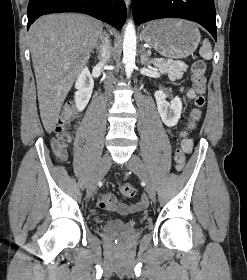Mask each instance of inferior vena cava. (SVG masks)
<instances>
[{
  "instance_id": "obj_1",
  "label": "inferior vena cava",
  "mask_w": 247,
  "mask_h": 280,
  "mask_svg": "<svg viewBox=\"0 0 247 280\" xmlns=\"http://www.w3.org/2000/svg\"><path fill=\"white\" fill-rule=\"evenodd\" d=\"M101 41H102V44L100 46V63L101 64H104L106 63L109 58H110V40H109V35H107V33H102L101 35ZM113 79V76L112 75H109L108 76V80L106 82V88L110 87L111 86V81Z\"/></svg>"
}]
</instances>
